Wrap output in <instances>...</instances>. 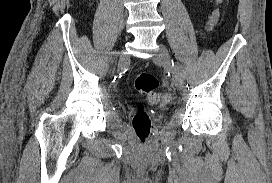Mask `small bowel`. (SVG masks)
I'll return each instance as SVG.
<instances>
[{
	"mask_svg": "<svg viewBox=\"0 0 272 183\" xmlns=\"http://www.w3.org/2000/svg\"><path fill=\"white\" fill-rule=\"evenodd\" d=\"M221 2L222 0H215L214 4L215 6H217ZM218 18H219V10L217 7H215V9L212 11V13L209 16L208 28H211L213 25H215L216 22L218 21Z\"/></svg>",
	"mask_w": 272,
	"mask_h": 183,
	"instance_id": "small-bowel-1",
	"label": "small bowel"
}]
</instances>
